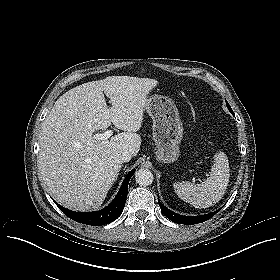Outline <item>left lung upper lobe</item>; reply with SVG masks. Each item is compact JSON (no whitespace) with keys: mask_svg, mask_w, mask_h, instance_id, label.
I'll return each instance as SVG.
<instances>
[{"mask_svg":"<svg viewBox=\"0 0 280 280\" xmlns=\"http://www.w3.org/2000/svg\"><path fill=\"white\" fill-rule=\"evenodd\" d=\"M226 105H227V108L229 109V111L231 112V114H233L234 115V113H233V111H232V109H231V107H230V105L228 104V102L226 101Z\"/></svg>","mask_w":280,"mask_h":280,"instance_id":"1","label":"left lung upper lobe"}]
</instances>
